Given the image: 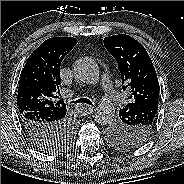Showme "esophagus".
<instances>
[{"mask_svg":"<svg viewBox=\"0 0 184 184\" xmlns=\"http://www.w3.org/2000/svg\"><path fill=\"white\" fill-rule=\"evenodd\" d=\"M78 111L82 114H91L94 111V107L89 105H81L78 107Z\"/></svg>","mask_w":184,"mask_h":184,"instance_id":"1","label":"esophagus"}]
</instances>
